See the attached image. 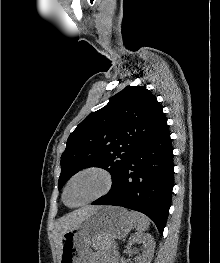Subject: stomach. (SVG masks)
<instances>
[{
	"mask_svg": "<svg viewBox=\"0 0 220 263\" xmlns=\"http://www.w3.org/2000/svg\"><path fill=\"white\" fill-rule=\"evenodd\" d=\"M134 226L131 213L122 207L100 206L61 240L59 263H81L90 245L111 248L114 239L126 236Z\"/></svg>",
	"mask_w": 220,
	"mask_h": 263,
	"instance_id": "0dacf381",
	"label": "stomach"
}]
</instances>
